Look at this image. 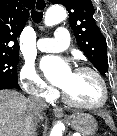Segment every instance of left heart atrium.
I'll return each instance as SVG.
<instances>
[{"mask_svg": "<svg viewBox=\"0 0 117 136\" xmlns=\"http://www.w3.org/2000/svg\"><path fill=\"white\" fill-rule=\"evenodd\" d=\"M41 67L47 78L55 85L65 89L73 72L69 65L59 57H46L41 62Z\"/></svg>", "mask_w": 117, "mask_h": 136, "instance_id": "obj_1", "label": "left heart atrium"}]
</instances>
